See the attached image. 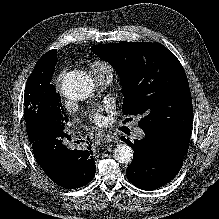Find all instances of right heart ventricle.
Here are the masks:
<instances>
[{"label":"right heart ventricle","instance_id":"1","mask_svg":"<svg viewBox=\"0 0 219 219\" xmlns=\"http://www.w3.org/2000/svg\"><path fill=\"white\" fill-rule=\"evenodd\" d=\"M89 70L91 74H95V73L102 72L105 70L112 71V67L105 61L94 60L90 63Z\"/></svg>","mask_w":219,"mask_h":219}]
</instances>
